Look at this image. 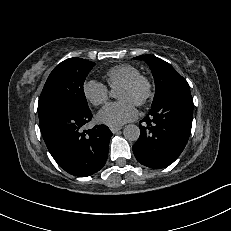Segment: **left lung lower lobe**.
Here are the masks:
<instances>
[{"label": "left lung lower lobe", "instance_id": "1", "mask_svg": "<svg viewBox=\"0 0 231 231\" xmlns=\"http://www.w3.org/2000/svg\"><path fill=\"white\" fill-rule=\"evenodd\" d=\"M193 117L190 91L167 95L140 121L133 152L142 165L160 169L172 164L188 141Z\"/></svg>", "mask_w": 231, "mask_h": 231}]
</instances>
